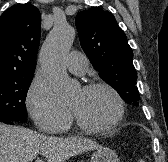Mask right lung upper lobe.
<instances>
[{
	"label": "right lung upper lobe",
	"mask_w": 168,
	"mask_h": 162,
	"mask_svg": "<svg viewBox=\"0 0 168 162\" xmlns=\"http://www.w3.org/2000/svg\"><path fill=\"white\" fill-rule=\"evenodd\" d=\"M41 16L29 3L7 9L0 17V79L34 72Z\"/></svg>",
	"instance_id": "obj_1"
}]
</instances>
